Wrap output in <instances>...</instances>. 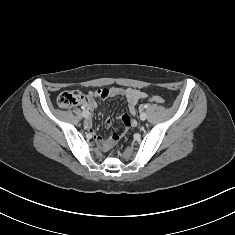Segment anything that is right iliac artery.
Masks as SVG:
<instances>
[{
  "label": "right iliac artery",
  "mask_w": 235,
  "mask_h": 235,
  "mask_svg": "<svg viewBox=\"0 0 235 235\" xmlns=\"http://www.w3.org/2000/svg\"><path fill=\"white\" fill-rule=\"evenodd\" d=\"M81 108H82V110H83V113H84V112H88L87 110H85L86 108H85L84 106H82ZM88 113H89V112H88Z\"/></svg>",
  "instance_id": "82829eb1"
}]
</instances>
